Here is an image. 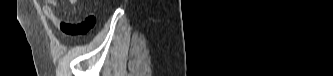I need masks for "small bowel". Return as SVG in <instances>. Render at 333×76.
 <instances>
[{
    "mask_svg": "<svg viewBox=\"0 0 333 76\" xmlns=\"http://www.w3.org/2000/svg\"><path fill=\"white\" fill-rule=\"evenodd\" d=\"M73 6L80 4L79 0H69ZM57 2L55 0H44L43 13L45 17L61 32L70 35L71 39H85L86 33L95 25V17L89 13L82 22L73 23L70 21L60 20L55 13Z\"/></svg>",
    "mask_w": 333,
    "mask_h": 76,
    "instance_id": "c3829d8e",
    "label": "small bowel"
}]
</instances>
